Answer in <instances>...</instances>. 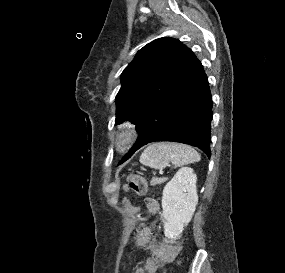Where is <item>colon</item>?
Masks as SVG:
<instances>
[{"label":"colon","instance_id":"obj_1","mask_svg":"<svg viewBox=\"0 0 285 273\" xmlns=\"http://www.w3.org/2000/svg\"><path fill=\"white\" fill-rule=\"evenodd\" d=\"M124 189L139 196H144L147 193V186L144 179L135 174H130L126 177ZM140 218L144 219L145 215L141 214ZM138 232H149L148 223H139Z\"/></svg>","mask_w":285,"mask_h":273}]
</instances>
